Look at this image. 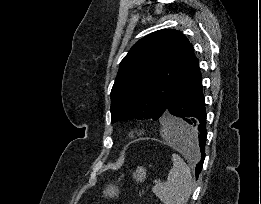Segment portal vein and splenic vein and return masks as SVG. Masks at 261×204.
Returning <instances> with one entry per match:
<instances>
[{"instance_id":"18ae733b","label":"portal vein and splenic vein","mask_w":261,"mask_h":204,"mask_svg":"<svg viewBox=\"0 0 261 204\" xmlns=\"http://www.w3.org/2000/svg\"><path fill=\"white\" fill-rule=\"evenodd\" d=\"M154 183H155L156 185H158V184L160 183V181L155 180Z\"/></svg>"}]
</instances>
